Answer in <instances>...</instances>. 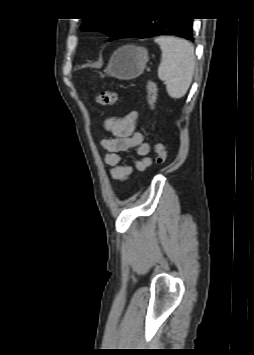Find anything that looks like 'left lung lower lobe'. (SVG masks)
I'll return each mask as SVG.
<instances>
[{
  "label": "left lung lower lobe",
  "mask_w": 254,
  "mask_h": 355,
  "mask_svg": "<svg viewBox=\"0 0 254 355\" xmlns=\"http://www.w3.org/2000/svg\"><path fill=\"white\" fill-rule=\"evenodd\" d=\"M192 20L191 18H133L130 25L119 38H148L158 35H175L193 40Z\"/></svg>",
  "instance_id": "1"
}]
</instances>
